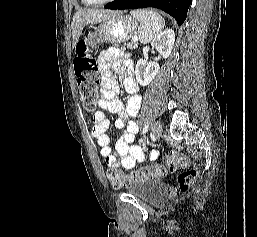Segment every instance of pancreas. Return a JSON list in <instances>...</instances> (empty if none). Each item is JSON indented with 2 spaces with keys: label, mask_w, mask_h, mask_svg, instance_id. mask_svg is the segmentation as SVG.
I'll use <instances>...</instances> for the list:
<instances>
[{
  "label": "pancreas",
  "mask_w": 257,
  "mask_h": 237,
  "mask_svg": "<svg viewBox=\"0 0 257 237\" xmlns=\"http://www.w3.org/2000/svg\"><path fill=\"white\" fill-rule=\"evenodd\" d=\"M125 46H126L128 49H136V48H138V43H137V42H134V41H131V42L125 44Z\"/></svg>",
  "instance_id": "pancreas-1"
}]
</instances>
